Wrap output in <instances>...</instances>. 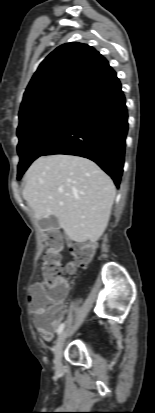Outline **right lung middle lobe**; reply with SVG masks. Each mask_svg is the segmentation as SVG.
Wrapping results in <instances>:
<instances>
[{
    "mask_svg": "<svg viewBox=\"0 0 155 413\" xmlns=\"http://www.w3.org/2000/svg\"><path fill=\"white\" fill-rule=\"evenodd\" d=\"M78 104H64L26 122L17 129L20 162L18 179L29 165L42 156L66 128Z\"/></svg>",
    "mask_w": 155,
    "mask_h": 413,
    "instance_id": "right-lung-middle-lobe-1",
    "label": "right lung middle lobe"
}]
</instances>
